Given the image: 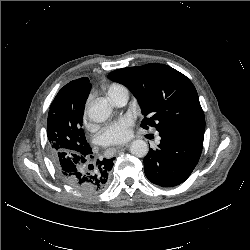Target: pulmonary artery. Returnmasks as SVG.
<instances>
[{
  "mask_svg": "<svg viewBox=\"0 0 250 250\" xmlns=\"http://www.w3.org/2000/svg\"><path fill=\"white\" fill-rule=\"evenodd\" d=\"M111 99L117 106H124L128 101V92L127 90L121 91Z\"/></svg>",
  "mask_w": 250,
  "mask_h": 250,
  "instance_id": "e3ab8cb5",
  "label": "pulmonary artery"
}]
</instances>
